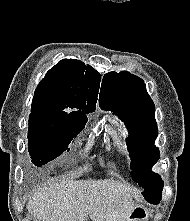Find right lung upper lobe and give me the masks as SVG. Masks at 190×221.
Listing matches in <instances>:
<instances>
[{"label": "right lung upper lobe", "mask_w": 190, "mask_h": 221, "mask_svg": "<svg viewBox=\"0 0 190 221\" xmlns=\"http://www.w3.org/2000/svg\"><path fill=\"white\" fill-rule=\"evenodd\" d=\"M100 74L79 60L63 59L52 67L38 84L30 115L87 120L95 111Z\"/></svg>", "instance_id": "cb5924a9"}]
</instances>
